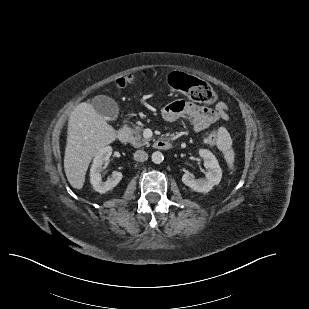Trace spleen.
Wrapping results in <instances>:
<instances>
[{
  "mask_svg": "<svg viewBox=\"0 0 309 309\" xmlns=\"http://www.w3.org/2000/svg\"><path fill=\"white\" fill-rule=\"evenodd\" d=\"M231 146H232V140H231V137H230L228 131L224 127L219 128L217 147L219 148V150H221L223 152L224 158H225L227 164L232 169L235 154H234Z\"/></svg>",
  "mask_w": 309,
  "mask_h": 309,
  "instance_id": "spleen-1",
  "label": "spleen"
}]
</instances>
